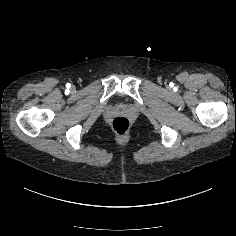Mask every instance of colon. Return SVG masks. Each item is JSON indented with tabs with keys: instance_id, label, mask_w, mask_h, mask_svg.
Returning a JSON list of instances; mask_svg holds the SVG:
<instances>
[{
	"instance_id": "colon-1",
	"label": "colon",
	"mask_w": 236,
	"mask_h": 236,
	"mask_svg": "<svg viewBox=\"0 0 236 236\" xmlns=\"http://www.w3.org/2000/svg\"><path fill=\"white\" fill-rule=\"evenodd\" d=\"M130 128V122L125 117H117L112 121V129L118 135H125Z\"/></svg>"
}]
</instances>
